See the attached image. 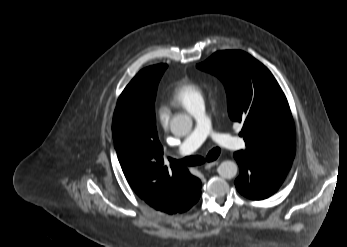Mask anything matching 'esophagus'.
Here are the masks:
<instances>
[{
    "label": "esophagus",
    "instance_id": "34e87169",
    "mask_svg": "<svg viewBox=\"0 0 347 247\" xmlns=\"http://www.w3.org/2000/svg\"><path fill=\"white\" fill-rule=\"evenodd\" d=\"M219 164V161H212V162H209V163H207V164H205V169H210V168H212L213 166H217Z\"/></svg>",
    "mask_w": 347,
    "mask_h": 247
}]
</instances>
